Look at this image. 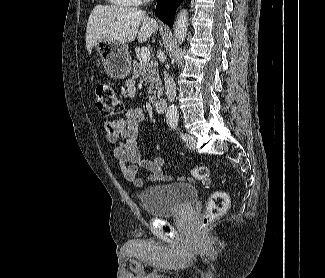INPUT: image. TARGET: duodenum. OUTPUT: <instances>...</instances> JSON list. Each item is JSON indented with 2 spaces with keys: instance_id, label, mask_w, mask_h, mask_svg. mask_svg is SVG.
<instances>
[{
  "instance_id": "410a0bca",
  "label": "duodenum",
  "mask_w": 325,
  "mask_h": 278,
  "mask_svg": "<svg viewBox=\"0 0 325 278\" xmlns=\"http://www.w3.org/2000/svg\"><path fill=\"white\" fill-rule=\"evenodd\" d=\"M154 107L157 112L163 113L166 110V101L163 98H158L154 101Z\"/></svg>"
}]
</instances>
